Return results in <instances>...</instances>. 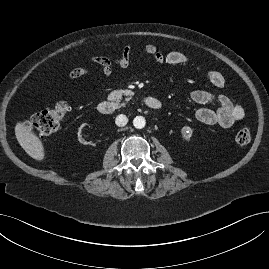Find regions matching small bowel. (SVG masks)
Returning <instances> with one entry per match:
<instances>
[{
  "mask_svg": "<svg viewBox=\"0 0 269 269\" xmlns=\"http://www.w3.org/2000/svg\"><path fill=\"white\" fill-rule=\"evenodd\" d=\"M141 56L156 64L166 63L178 66L185 65L188 62L187 57L183 53L179 51L162 53L154 44L146 45L141 51ZM91 61L100 66L103 80L106 81L112 75L115 66L127 68L134 64L135 58L132 46L127 44L123 47L118 57L93 56L91 57ZM88 73V68L76 67L70 70L69 76L72 79H77ZM208 79L217 88H223L225 86V77L219 71L213 70L208 72ZM190 97L192 102L198 105H206L212 102L218 103L216 109L203 107L196 111L195 117L202 124L228 128L245 116L244 108L241 105L234 104L225 94L215 95L205 90H196L191 93Z\"/></svg>",
  "mask_w": 269,
  "mask_h": 269,
  "instance_id": "small-bowel-1",
  "label": "small bowel"
}]
</instances>
